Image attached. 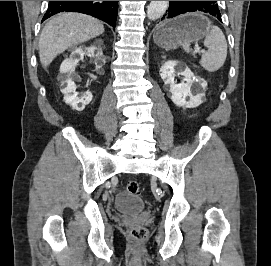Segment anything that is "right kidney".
Segmentation results:
<instances>
[{"mask_svg": "<svg viewBox=\"0 0 271 266\" xmlns=\"http://www.w3.org/2000/svg\"><path fill=\"white\" fill-rule=\"evenodd\" d=\"M84 55L94 58L97 69H100L103 63H105L101 48H99L98 45H92L90 47L75 48L70 58L65 59L60 66V81L63 86L61 92L64 94L63 99L66 104L78 111H82L93 98L90 91L84 92L81 97H79L76 92V75L74 71L79 59L83 58Z\"/></svg>", "mask_w": 271, "mask_h": 266, "instance_id": "1", "label": "right kidney"}]
</instances>
